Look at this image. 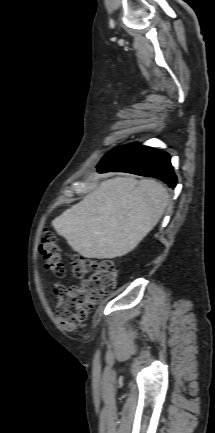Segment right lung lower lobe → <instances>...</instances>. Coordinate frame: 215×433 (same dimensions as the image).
<instances>
[{"instance_id": "obj_1", "label": "right lung lower lobe", "mask_w": 215, "mask_h": 433, "mask_svg": "<svg viewBox=\"0 0 215 433\" xmlns=\"http://www.w3.org/2000/svg\"><path fill=\"white\" fill-rule=\"evenodd\" d=\"M99 172H128L162 180L171 188L177 183L170 163V155L162 150L133 143L104 163H99Z\"/></svg>"}]
</instances>
